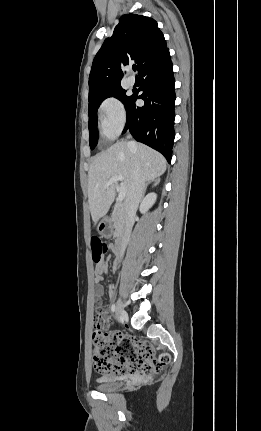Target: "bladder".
Wrapping results in <instances>:
<instances>
[{
    "label": "bladder",
    "instance_id": "31cf9c89",
    "mask_svg": "<svg viewBox=\"0 0 261 431\" xmlns=\"http://www.w3.org/2000/svg\"><path fill=\"white\" fill-rule=\"evenodd\" d=\"M121 386V378L111 374H104L96 379V388L102 392L118 390Z\"/></svg>",
    "mask_w": 261,
    "mask_h": 431
}]
</instances>
